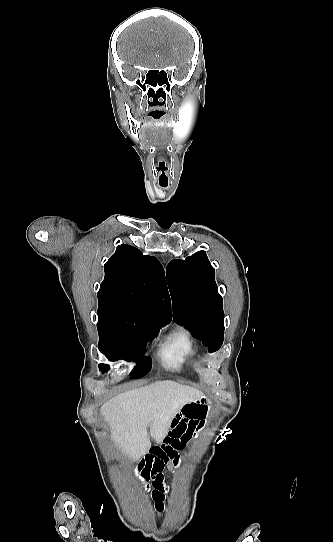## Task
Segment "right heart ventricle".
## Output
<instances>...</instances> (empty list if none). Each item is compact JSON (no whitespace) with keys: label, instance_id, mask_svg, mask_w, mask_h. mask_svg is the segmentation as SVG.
Returning a JSON list of instances; mask_svg holds the SVG:
<instances>
[{"label":"right heart ventricle","instance_id":"e07e8e85","mask_svg":"<svg viewBox=\"0 0 333 542\" xmlns=\"http://www.w3.org/2000/svg\"><path fill=\"white\" fill-rule=\"evenodd\" d=\"M161 352L170 367L180 369L185 361L193 355L190 336L183 330L170 334L164 341Z\"/></svg>","mask_w":333,"mask_h":542}]
</instances>
